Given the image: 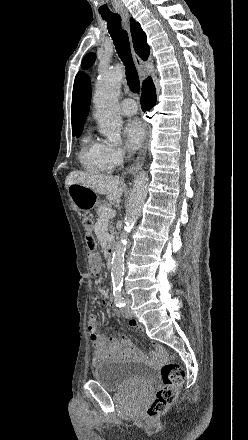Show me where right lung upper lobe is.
<instances>
[{
	"label": "right lung upper lobe",
	"mask_w": 248,
	"mask_h": 440,
	"mask_svg": "<svg viewBox=\"0 0 248 440\" xmlns=\"http://www.w3.org/2000/svg\"><path fill=\"white\" fill-rule=\"evenodd\" d=\"M131 35L133 46L136 53L143 59L147 60L150 48L147 44V38L141 26L134 19H130ZM91 87L89 78L86 74L79 72L76 75L73 94H72V130L82 131L85 120L89 114Z\"/></svg>",
	"instance_id": "1"
}]
</instances>
